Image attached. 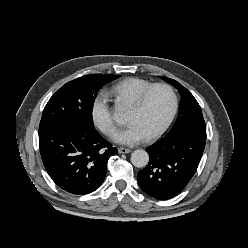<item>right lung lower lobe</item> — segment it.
<instances>
[{
  "label": "right lung lower lobe",
  "mask_w": 248,
  "mask_h": 248,
  "mask_svg": "<svg viewBox=\"0 0 248 248\" xmlns=\"http://www.w3.org/2000/svg\"><path fill=\"white\" fill-rule=\"evenodd\" d=\"M40 154L49 176L63 190L85 195L98 189L108 159L118 153L95 128L58 125L39 136Z\"/></svg>",
  "instance_id": "right-lung-lower-lobe-1"
}]
</instances>
